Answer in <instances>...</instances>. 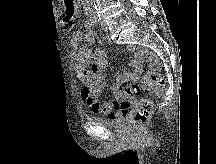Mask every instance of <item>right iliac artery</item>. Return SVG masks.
Returning <instances> with one entry per match:
<instances>
[{
  "label": "right iliac artery",
  "mask_w": 216,
  "mask_h": 164,
  "mask_svg": "<svg viewBox=\"0 0 216 164\" xmlns=\"http://www.w3.org/2000/svg\"><path fill=\"white\" fill-rule=\"evenodd\" d=\"M100 21V18H92L90 19L91 24L96 25Z\"/></svg>",
  "instance_id": "right-iliac-artery-1"
}]
</instances>
